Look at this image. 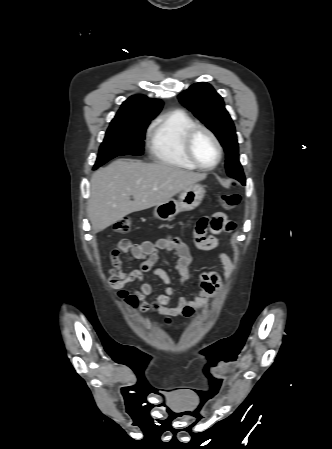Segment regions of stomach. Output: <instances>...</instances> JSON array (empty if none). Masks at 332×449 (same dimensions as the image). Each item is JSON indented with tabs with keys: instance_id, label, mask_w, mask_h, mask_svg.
<instances>
[{
	"instance_id": "stomach-1",
	"label": "stomach",
	"mask_w": 332,
	"mask_h": 449,
	"mask_svg": "<svg viewBox=\"0 0 332 449\" xmlns=\"http://www.w3.org/2000/svg\"><path fill=\"white\" fill-rule=\"evenodd\" d=\"M205 193L206 191L202 185H191L180 193L178 200L170 199L157 205L154 208L153 215L162 221L172 220L180 212L191 211L198 207Z\"/></svg>"
}]
</instances>
